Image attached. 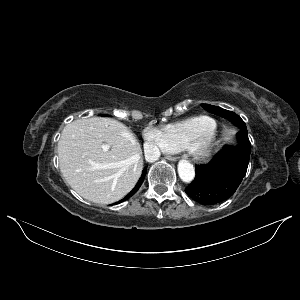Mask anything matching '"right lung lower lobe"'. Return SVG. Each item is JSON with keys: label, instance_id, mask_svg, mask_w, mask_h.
Instances as JSON below:
<instances>
[{"label": "right lung lower lobe", "instance_id": "98d812e1", "mask_svg": "<svg viewBox=\"0 0 300 300\" xmlns=\"http://www.w3.org/2000/svg\"><path fill=\"white\" fill-rule=\"evenodd\" d=\"M146 172H147V167H145L144 169H143V172H142V175H141V177H140V179H139V181H138V183L136 184V185H138V187L140 188V186L142 185V183H143V181H144V178H145V176H146ZM135 188V187H134ZM134 188H133V190H134ZM138 188V189H139ZM132 190V191H133ZM131 191V192H132ZM138 191V190H137ZM131 192L125 197V198H123L121 201H125V200H127V199H129L131 196H133L132 194H131ZM121 201H119V202H121Z\"/></svg>", "mask_w": 300, "mask_h": 300}]
</instances>
